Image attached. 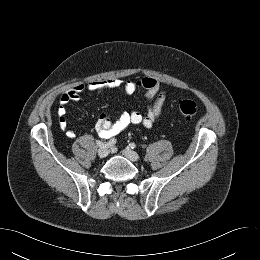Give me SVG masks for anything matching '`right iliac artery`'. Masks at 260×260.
Returning <instances> with one entry per match:
<instances>
[{"label": "right iliac artery", "mask_w": 260, "mask_h": 260, "mask_svg": "<svg viewBox=\"0 0 260 260\" xmlns=\"http://www.w3.org/2000/svg\"><path fill=\"white\" fill-rule=\"evenodd\" d=\"M105 138H109V137H105ZM115 143H116V140H115V139H111V140H110L109 142H107V143H103V142H101L100 140H97V141H96L97 146H99V147H101V148L111 147V146H113Z\"/></svg>", "instance_id": "obj_1"}]
</instances>
